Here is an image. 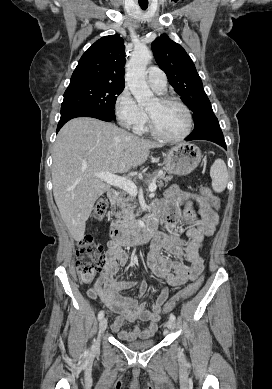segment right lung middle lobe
<instances>
[{
    "label": "right lung middle lobe",
    "instance_id": "right-lung-middle-lobe-1",
    "mask_svg": "<svg viewBox=\"0 0 272 389\" xmlns=\"http://www.w3.org/2000/svg\"><path fill=\"white\" fill-rule=\"evenodd\" d=\"M124 86L101 82L70 83L64 93L62 107L83 106L115 119L114 106Z\"/></svg>",
    "mask_w": 272,
    "mask_h": 389
}]
</instances>
